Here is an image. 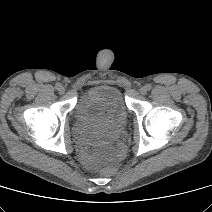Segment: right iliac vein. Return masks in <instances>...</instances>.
<instances>
[{
    "instance_id": "63e3f726",
    "label": "right iliac vein",
    "mask_w": 212,
    "mask_h": 212,
    "mask_svg": "<svg viewBox=\"0 0 212 212\" xmlns=\"http://www.w3.org/2000/svg\"><path fill=\"white\" fill-rule=\"evenodd\" d=\"M58 91H59L60 94H64L65 89H64L63 86H60L59 89H58Z\"/></svg>"
}]
</instances>
